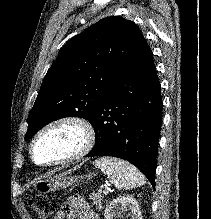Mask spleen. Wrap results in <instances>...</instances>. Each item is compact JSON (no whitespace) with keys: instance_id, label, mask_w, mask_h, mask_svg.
<instances>
[{"instance_id":"spleen-1","label":"spleen","mask_w":211,"mask_h":219,"mask_svg":"<svg viewBox=\"0 0 211 219\" xmlns=\"http://www.w3.org/2000/svg\"><path fill=\"white\" fill-rule=\"evenodd\" d=\"M94 166L100 168L118 190H130L146 183L137 168L121 159L103 157L95 160Z\"/></svg>"}]
</instances>
